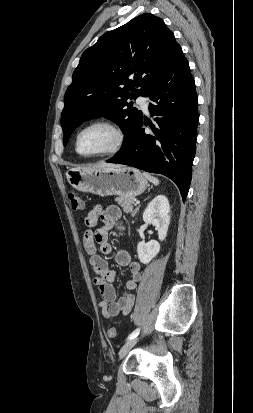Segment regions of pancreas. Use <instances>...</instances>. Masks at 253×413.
Masks as SVG:
<instances>
[{"instance_id":"1","label":"pancreas","mask_w":253,"mask_h":413,"mask_svg":"<svg viewBox=\"0 0 253 413\" xmlns=\"http://www.w3.org/2000/svg\"><path fill=\"white\" fill-rule=\"evenodd\" d=\"M115 201L123 208V211L125 213H131L132 215H134V197L119 196L115 199Z\"/></svg>"}]
</instances>
